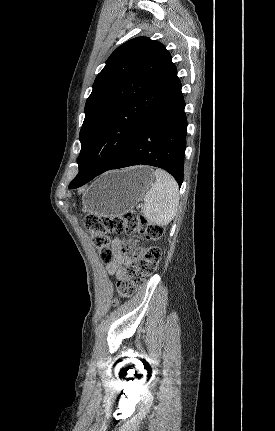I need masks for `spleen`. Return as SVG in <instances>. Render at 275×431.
Returning <instances> with one entry per match:
<instances>
[{
	"label": "spleen",
	"mask_w": 275,
	"mask_h": 431,
	"mask_svg": "<svg viewBox=\"0 0 275 431\" xmlns=\"http://www.w3.org/2000/svg\"><path fill=\"white\" fill-rule=\"evenodd\" d=\"M155 182L144 196L142 207L145 218L158 226L168 225L175 217L179 204V190L175 179L166 171H154Z\"/></svg>",
	"instance_id": "3e777b00"
}]
</instances>
